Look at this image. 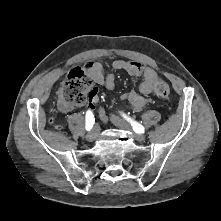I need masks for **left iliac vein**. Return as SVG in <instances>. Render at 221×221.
Returning a JSON list of instances; mask_svg holds the SVG:
<instances>
[{"label":"left iliac vein","mask_w":221,"mask_h":221,"mask_svg":"<svg viewBox=\"0 0 221 221\" xmlns=\"http://www.w3.org/2000/svg\"><path fill=\"white\" fill-rule=\"evenodd\" d=\"M111 121H112L117 127L121 128V129L128 130V131H132V127H131L128 123L124 122L123 120H121V119H119V118H117V117H115V116H112V117H111ZM134 137H135V139H136L137 141H139V142H142V141H144V139H145L144 135H142V134H137V133H134Z\"/></svg>","instance_id":"left-iliac-vein-1"}]
</instances>
